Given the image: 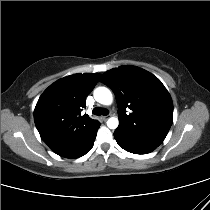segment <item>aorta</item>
Wrapping results in <instances>:
<instances>
[{
  "mask_svg": "<svg viewBox=\"0 0 210 210\" xmlns=\"http://www.w3.org/2000/svg\"><path fill=\"white\" fill-rule=\"evenodd\" d=\"M94 98L97 102L103 105H110L113 101L111 91L106 87H98L94 90ZM119 125V120L116 117H111L107 121V126L110 129H116Z\"/></svg>",
  "mask_w": 210,
  "mask_h": 210,
  "instance_id": "762f6f07",
  "label": "aorta"
}]
</instances>
